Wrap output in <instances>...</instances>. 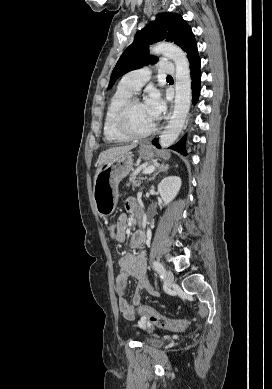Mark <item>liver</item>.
Segmentation results:
<instances>
[{"label":"liver","instance_id":"obj_1","mask_svg":"<svg viewBox=\"0 0 272 389\" xmlns=\"http://www.w3.org/2000/svg\"><path fill=\"white\" fill-rule=\"evenodd\" d=\"M135 147H136V144H131V145L112 147V148L107 149L100 156V160H99V164H98V168H97L96 173L98 172L101 165H103L104 163H106L107 161H109L111 159H114V158H116L124 153L129 152L130 150L134 149ZM95 177H96V175H95Z\"/></svg>","mask_w":272,"mask_h":389}]
</instances>
